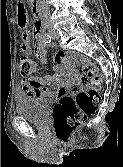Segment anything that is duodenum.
<instances>
[{
  "label": "duodenum",
  "mask_w": 123,
  "mask_h": 167,
  "mask_svg": "<svg viewBox=\"0 0 123 167\" xmlns=\"http://www.w3.org/2000/svg\"><path fill=\"white\" fill-rule=\"evenodd\" d=\"M32 10H33L34 14L37 17V21L36 22L38 24H40L41 28L43 29L44 19H43V12H42L39 0H33Z\"/></svg>",
  "instance_id": "1"
}]
</instances>
